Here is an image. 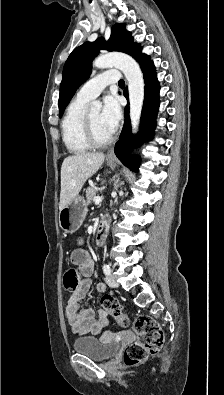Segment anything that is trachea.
I'll list each match as a JSON object with an SVG mask.
<instances>
[{
    "label": "trachea",
    "instance_id": "1",
    "mask_svg": "<svg viewBox=\"0 0 224 395\" xmlns=\"http://www.w3.org/2000/svg\"><path fill=\"white\" fill-rule=\"evenodd\" d=\"M118 85H119V86H124V85H125V82H124V80H123V79H121V80L118 82Z\"/></svg>",
    "mask_w": 224,
    "mask_h": 395
}]
</instances>
